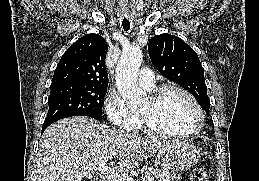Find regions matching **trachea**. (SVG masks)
<instances>
[{"instance_id": "3493384b", "label": "trachea", "mask_w": 259, "mask_h": 181, "mask_svg": "<svg viewBox=\"0 0 259 181\" xmlns=\"http://www.w3.org/2000/svg\"><path fill=\"white\" fill-rule=\"evenodd\" d=\"M122 26H123L124 31H126V32L130 29V23L127 20H123Z\"/></svg>"}]
</instances>
